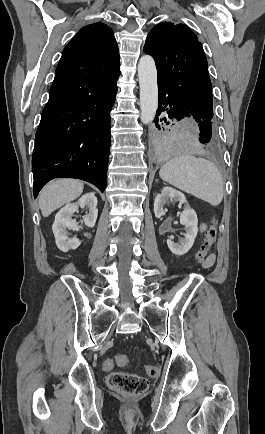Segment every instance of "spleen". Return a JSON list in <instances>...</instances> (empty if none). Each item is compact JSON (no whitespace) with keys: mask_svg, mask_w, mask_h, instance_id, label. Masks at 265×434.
<instances>
[{"mask_svg":"<svg viewBox=\"0 0 265 434\" xmlns=\"http://www.w3.org/2000/svg\"><path fill=\"white\" fill-rule=\"evenodd\" d=\"M160 178L175 188L196 196L199 200L219 206L223 198V184L213 162L195 156H178L162 166Z\"/></svg>","mask_w":265,"mask_h":434,"instance_id":"obj_1","label":"spleen"}]
</instances>
